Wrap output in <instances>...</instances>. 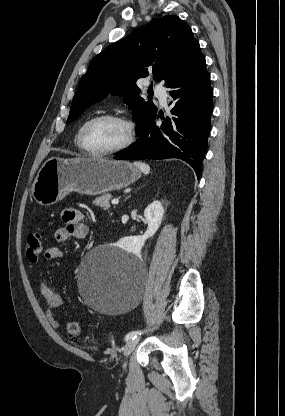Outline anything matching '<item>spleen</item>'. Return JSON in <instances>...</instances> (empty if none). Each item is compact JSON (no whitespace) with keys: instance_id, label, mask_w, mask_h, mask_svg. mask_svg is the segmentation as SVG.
<instances>
[{"instance_id":"spleen-1","label":"spleen","mask_w":285,"mask_h":416,"mask_svg":"<svg viewBox=\"0 0 285 416\" xmlns=\"http://www.w3.org/2000/svg\"><path fill=\"white\" fill-rule=\"evenodd\" d=\"M134 166H136V168H139V170H141L143 174H150V168L148 164H144V162H134Z\"/></svg>"}]
</instances>
